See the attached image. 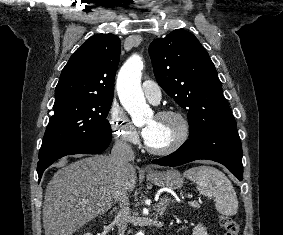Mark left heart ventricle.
<instances>
[{"label": "left heart ventricle", "mask_w": 283, "mask_h": 235, "mask_svg": "<svg viewBox=\"0 0 283 235\" xmlns=\"http://www.w3.org/2000/svg\"><path fill=\"white\" fill-rule=\"evenodd\" d=\"M155 125L154 133L148 143L155 148H163L171 144L179 133V123L174 119L151 117L145 125Z\"/></svg>", "instance_id": "left-heart-ventricle-1"}]
</instances>
